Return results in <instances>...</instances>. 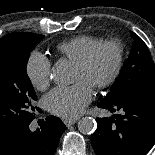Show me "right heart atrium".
<instances>
[{"label": "right heart atrium", "mask_w": 155, "mask_h": 155, "mask_svg": "<svg viewBox=\"0 0 155 155\" xmlns=\"http://www.w3.org/2000/svg\"><path fill=\"white\" fill-rule=\"evenodd\" d=\"M52 63L44 54L33 51L26 62V75L32 86L44 90L51 78Z\"/></svg>", "instance_id": "1"}]
</instances>
